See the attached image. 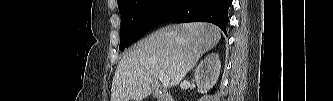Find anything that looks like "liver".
Listing matches in <instances>:
<instances>
[{
    "label": "liver",
    "mask_w": 333,
    "mask_h": 101,
    "mask_svg": "<svg viewBox=\"0 0 333 101\" xmlns=\"http://www.w3.org/2000/svg\"><path fill=\"white\" fill-rule=\"evenodd\" d=\"M221 39L209 23L163 27L140 41L120 60L111 87V101H142L159 88V75L176 86L200 57Z\"/></svg>",
    "instance_id": "obj_1"
}]
</instances>
